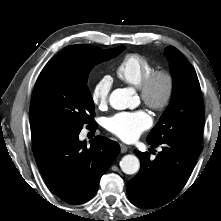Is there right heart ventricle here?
Wrapping results in <instances>:
<instances>
[{
	"label": "right heart ventricle",
	"mask_w": 221,
	"mask_h": 221,
	"mask_svg": "<svg viewBox=\"0 0 221 221\" xmlns=\"http://www.w3.org/2000/svg\"><path fill=\"white\" fill-rule=\"evenodd\" d=\"M155 68L153 61L141 54H127L118 64L116 74L120 80L139 87L144 78Z\"/></svg>",
	"instance_id": "1"
}]
</instances>
